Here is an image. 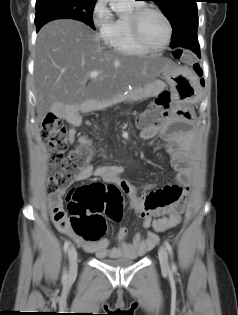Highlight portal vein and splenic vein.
<instances>
[{"mask_svg": "<svg viewBox=\"0 0 238 315\" xmlns=\"http://www.w3.org/2000/svg\"><path fill=\"white\" fill-rule=\"evenodd\" d=\"M97 76H98V72H96V71H92V72L90 73V77H91L92 79L96 78Z\"/></svg>", "mask_w": 238, "mask_h": 315, "instance_id": "1", "label": "portal vein and splenic vein"}]
</instances>
